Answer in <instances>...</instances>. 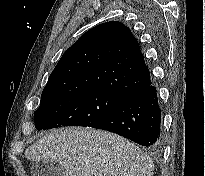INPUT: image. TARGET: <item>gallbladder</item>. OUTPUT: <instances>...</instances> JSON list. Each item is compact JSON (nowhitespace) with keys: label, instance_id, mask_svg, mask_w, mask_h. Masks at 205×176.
Returning a JSON list of instances; mask_svg holds the SVG:
<instances>
[{"label":"gallbladder","instance_id":"1","mask_svg":"<svg viewBox=\"0 0 205 176\" xmlns=\"http://www.w3.org/2000/svg\"><path fill=\"white\" fill-rule=\"evenodd\" d=\"M32 176H65L64 169L59 163L40 161L32 164Z\"/></svg>","mask_w":205,"mask_h":176}]
</instances>
